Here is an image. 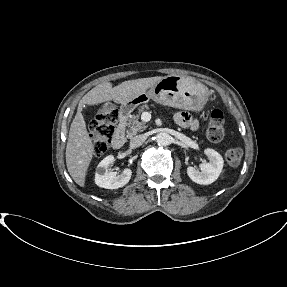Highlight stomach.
Listing matches in <instances>:
<instances>
[{
	"instance_id": "1",
	"label": "stomach",
	"mask_w": 287,
	"mask_h": 287,
	"mask_svg": "<svg viewBox=\"0 0 287 287\" xmlns=\"http://www.w3.org/2000/svg\"><path fill=\"white\" fill-rule=\"evenodd\" d=\"M190 111H201L208 101V90L200 82L185 76L168 75L145 93L123 102L120 114L128 115L139 105L149 100Z\"/></svg>"
}]
</instances>
